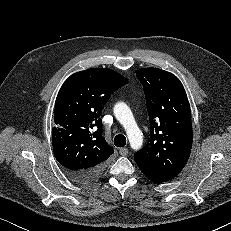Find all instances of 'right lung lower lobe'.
Wrapping results in <instances>:
<instances>
[{"label": "right lung lower lobe", "instance_id": "1", "mask_svg": "<svg viewBox=\"0 0 231 231\" xmlns=\"http://www.w3.org/2000/svg\"><path fill=\"white\" fill-rule=\"evenodd\" d=\"M103 168L99 167L94 170L89 171H81V172H68L69 177L76 182H88L96 178L101 172Z\"/></svg>", "mask_w": 231, "mask_h": 231}]
</instances>
